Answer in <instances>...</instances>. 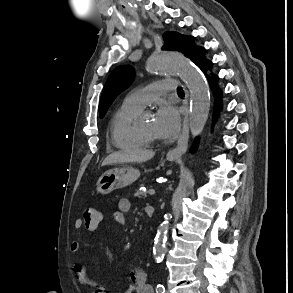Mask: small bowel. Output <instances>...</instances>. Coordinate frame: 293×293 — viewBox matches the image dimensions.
<instances>
[{
  "mask_svg": "<svg viewBox=\"0 0 293 293\" xmlns=\"http://www.w3.org/2000/svg\"><path fill=\"white\" fill-rule=\"evenodd\" d=\"M130 208L131 203L128 199H120L117 204V210L112 214L113 220L118 224H124L126 222V214L130 210ZM74 226L76 229H80L83 226V223L80 220H76ZM85 227L90 231H93L97 228H90L87 226ZM80 246V242H72V252L79 251ZM74 274L81 284L93 287V293H107L104 288L97 286L93 283V281L88 277L86 271L81 265H74ZM129 278L130 284L124 289L123 293H153L152 286L147 282V275L142 269H132L129 273Z\"/></svg>",
  "mask_w": 293,
  "mask_h": 293,
  "instance_id": "small-bowel-1",
  "label": "small bowel"
}]
</instances>
